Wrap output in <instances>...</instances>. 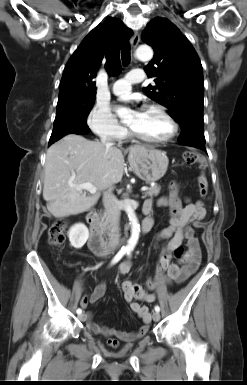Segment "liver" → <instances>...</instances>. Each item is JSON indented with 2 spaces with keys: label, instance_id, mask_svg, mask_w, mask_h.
I'll use <instances>...</instances> for the list:
<instances>
[{
  "label": "liver",
  "instance_id": "1",
  "mask_svg": "<svg viewBox=\"0 0 247 385\" xmlns=\"http://www.w3.org/2000/svg\"><path fill=\"white\" fill-rule=\"evenodd\" d=\"M124 156L114 146L68 134L49 147L46 154L43 198L56 218L77 215L92 208L100 192L121 181ZM92 183L97 191L83 193L71 185Z\"/></svg>",
  "mask_w": 247,
  "mask_h": 385
}]
</instances>
